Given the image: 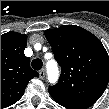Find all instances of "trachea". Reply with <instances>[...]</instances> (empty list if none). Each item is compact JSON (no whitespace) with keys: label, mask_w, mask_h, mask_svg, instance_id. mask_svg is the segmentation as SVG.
I'll use <instances>...</instances> for the list:
<instances>
[{"label":"trachea","mask_w":109,"mask_h":109,"mask_svg":"<svg viewBox=\"0 0 109 109\" xmlns=\"http://www.w3.org/2000/svg\"><path fill=\"white\" fill-rule=\"evenodd\" d=\"M31 65L34 70H40L43 66V62L41 59H34Z\"/></svg>","instance_id":"obj_1"}]
</instances>
